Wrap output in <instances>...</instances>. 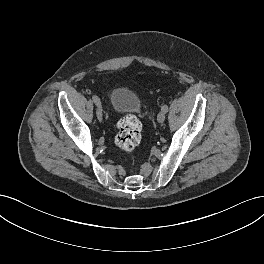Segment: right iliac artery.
Masks as SVG:
<instances>
[{
	"label": "right iliac artery",
	"mask_w": 264,
	"mask_h": 264,
	"mask_svg": "<svg viewBox=\"0 0 264 264\" xmlns=\"http://www.w3.org/2000/svg\"><path fill=\"white\" fill-rule=\"evenodd\" d=\"M92 99L96 105H101L100 99L97 96H92Z\"/></svg>",
	"instance_id": "82829eb1"
}]
</instances>
